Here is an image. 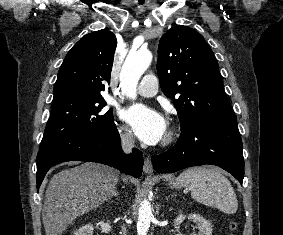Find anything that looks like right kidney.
<instances>
[{"instance_id": "ca27d5eb", "label": "right kidney", "mask_w": 283, "mask_h": 235, "mask_svg": "<svg viewBox=\"0 0 283 235\" xmlns=\"http://www.w3.org/2000/svg\"><path fill=\"white\" fill-rule=\"evenodd\" d=\"M97 226H100L101 232L108 234L111 231V226L108 222L99 221L96 223ZM93 225L87 224L79 228L74 235H92L93 234Z\"/></svg>"}]
</instances>
